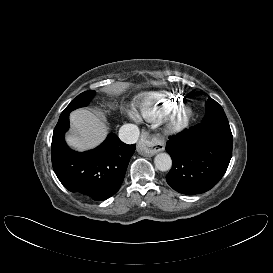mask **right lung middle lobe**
I'll use <instances>...</instances> for the list:
<instances>
[{
    "mask_svg": "<svg viewBox=\"0 0 273 273\" xmlns=\"http://www.w3.org/2000/svg\"><path fill=\"white\" fill-rule=\"evenodd\" d=\"M95 94V92L93 91H85L83 93H81L80 95H78L66 108L65 110L62 112L61 116L67 115L69 114L71 111L80 108V107H84L87 106L90 102V100L92 99L93 95Z\"/></svg>",
    "mask_w": 273,
    "mask_h": 273,
    "instance_id": "1",
    "label": "right lung middle lobe"
}]
</instances>
